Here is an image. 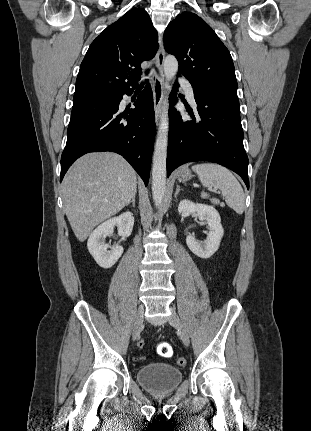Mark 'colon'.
I'll list each match as a JSON object with an SVG mask.
<instances>
[{
    "label": "colon",
    "mask_w": 311,
    "mask_h": 431,
    "mask_svg": "<svg viewBox=\"0 0 311 431\" xmlns=\"http://www.w3.org/2000/svg\"><path fill=\"white\" fill-rule=\"evenodd\" d=\"M144 345H145L144 341H140L138 343V347L140 349H142L144 347ZM157 351H158V354L160 356L165 357V358L171 357L172 353H173L172 347L168 343H161V344H159L158 347H157ZM143 359H144V356H142V355H139V356L135 357L136 361H142ZM177 363H178L179 366H185L186 363H187V361H186L185 358H179L177 360Z\"/></svg>",
    "instance_id": "5ec220e1"
}]
</instances>
